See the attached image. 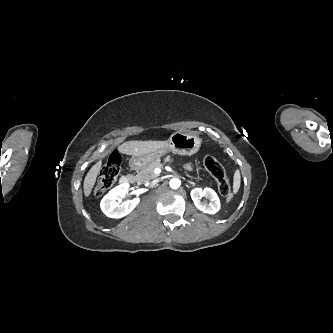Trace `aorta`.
<instances>
[{
    "label": "aorta",
    "instance_id": "762f6f07",
    "mask_svg": "<svg viewBox=\"0 0 333 333\" xmlns=\"http://www.w3.org/2000/svg\"><path fill=\"white\" fill-rule=\"evenodd\" d=\"M169 185L172 189H178L181 185V181L178 178H173L170 180Z\"/></svg>",
    "mask_w": 333,
    "mask_h": 333
}]
</instances>
